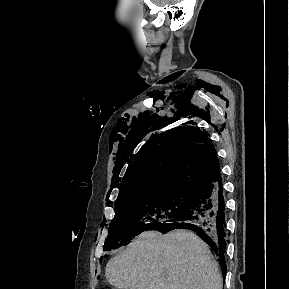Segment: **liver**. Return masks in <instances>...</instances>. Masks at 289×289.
I'll return each instance as SVG.
<instances>
[{
	"mask_svg": "<svg viewBox=\"0 0 289 289\" xmlns=\"http://www.w3.org/2000/svg\"><path fill=\"white\" fill-rule=\"evenodd\" d=\"M117 289H222L218 263L196 234L146 231L105 268Z\"/></svg>",
	"mask_w": 289,
	"mask_h": 289,
	"instance_id": "1",
	"label": "liver"
}]
</instances>
